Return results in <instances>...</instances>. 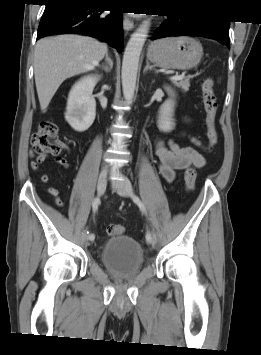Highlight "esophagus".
<instances>
[{
	"mask_svg": "<svg viewBox=\"0 0 261 355\" xmlns=\"http://www.w3.org/2000/svg\"><path fill=\"white\" fill-rule=\"evenodd\" d=\"M123 28L126 32L131 31L134 28V22L127 16L123 18Z\"/></svg>",
	"mask_w": 261,
	"mask_h": 355,
	"instance_id": "obj_1",
	"label": "esophagus"
}]
</instances>
